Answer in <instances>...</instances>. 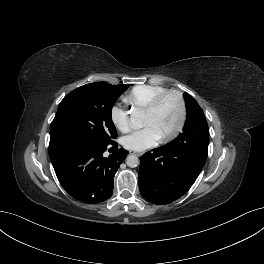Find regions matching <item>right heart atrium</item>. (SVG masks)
<instances>
[{"label": "right heart atrium", "instance_id": "d8ad5b80", "mask_svg": "<svg viewBox=\"0 0 264 264\" xmlns=\"http://www.w3.org/2000/svg\"><path fill=\"white\" fill-rule=\"evenodd\" d=\"M110 118L114 127L119 131L126 132L129 130V113L123 107L119 105H114L110 111Z\"/></svg>", "mask_w": 264, "mask_h": 264}]
</instances>
